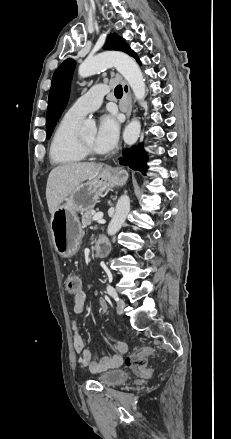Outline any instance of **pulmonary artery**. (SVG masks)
Returning <instances> with one entry per match:
<instances>
[{
  "instance_id": "1",
  "label": "pulmonary artery",
  "mask_w": 231,
  "mask_h": 439,
  "mask_svg": "<svg viewBox=\"0 0 231 439\" xmlns=\"http://www.w3.org/2000/svg\"><path fill=\"white\" fill-rule=\"evenodd\" d=\"M108 91V86L104 84L93 86L67 110L66 115L81 120L88 113L97 110L101 106L103 97Z\"/></svg>"
}]
</instances>
